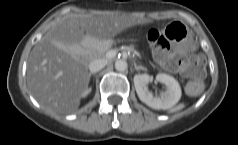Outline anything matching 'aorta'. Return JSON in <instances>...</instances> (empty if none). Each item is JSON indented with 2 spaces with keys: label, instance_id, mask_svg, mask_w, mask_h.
I'll return each mask as SVG.
<instances>
[{
  "label": "aorta",
  "instance_id": "aorta-1",
  "mask_svg": "<svg viewBox=\"0 0 238 145\" xmlns=\"http://www.w3.org/2000/svg\"><path fill=\"white\" fill-rule=\"evenodd\" d=\"M127 67H128L127 62H126L125 60H123V59L117 60V61L115 62V69H116L117 71H119V72H124V71H126V70H127Z\"/></svg>",
  "mask_w": 238,
  "mask_h": 145
}]
</instances>
